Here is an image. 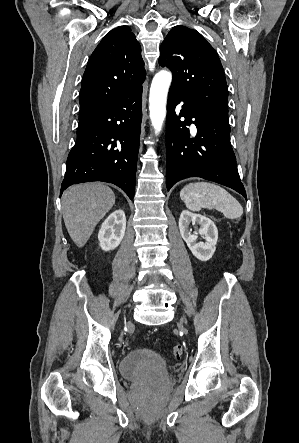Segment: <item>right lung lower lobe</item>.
Listing matches in <instances>:
<instances>
[{"mask_svg":"<svg viewBox=\"0 0 299 443\" xmlns=\"http://www.w3.org/2000/svg\"><path fill=\"white\" fill-rule=\"evenodd\" d=\"M141 120L142 86L79 122L60 196L70 185L103 181L133 199Z\"/></svg>","mask_w":299,"mask_h":443,"instance_id":"obj_1","label":"right lung lower lobe"}]
</instances>
